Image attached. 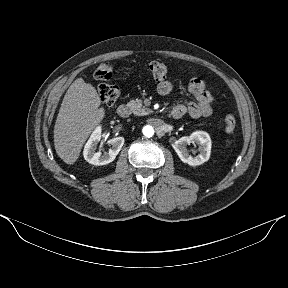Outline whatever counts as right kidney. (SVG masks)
I'll use <instances>...</instances> for the list:
<instances>
[{
	"mask_svg": "<svg viewBox=\"0 0 288 288\" xmlns=\"http://www.w3.org/2000/svg\"><path fill=\"white\" fill-rule=\"evenodd\" d=\"M101 127H97L92 135L90 136L89 140L85 144L83 155L85 160L93 165H106L112 162L116 156L118 155L119 151L121 150L124 144L123 137H114L108 140V143L111 144V148L109 152H105L103 155L101 152H96L97 144L101 140Z\"/></svg>",
	"mask_w": 288,
	"mask_h": 288,
	"instance_id": "obj_1",
	"label": "right kidney"
}]
</instances>
